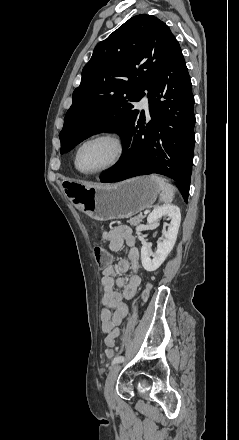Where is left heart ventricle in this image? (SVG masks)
Masks as SVG:
<instances>
[{"label": "left heart ventricle", "mask_w": 239, "mask_h": 440, "mask_svg": "<svg viewBox=\"0 0 239 440\" xmlns=\"http://www.w3.org/2000/svg\"><path fill=\"white\" fill-rule=\"evenodd\" d=\"M115 156L114 144L106 139L87 143L79 155V168L85 172L96 171L107 166Z\"/></svg>", "instance_id": "left-heart-ventricle-1"}]
</instances>
